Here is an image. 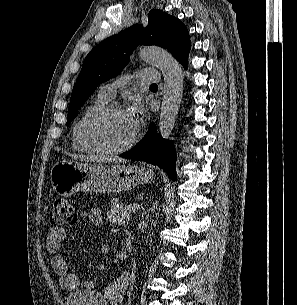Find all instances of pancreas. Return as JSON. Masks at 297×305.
I'll use <instances>...</instances> for the list:
<instances>
[{
  "label": "pancreas",
  "mask_w": 297,
  "mask_h": 305,
  "mask_svg": "<svg viewBox=\"0 0 297 305\" xmlns=\"http://www.w3.org/2000/svg\"><path fill=\"white\" fill-rule=\"evenodd\" d=\"M129 206H125L122 203H118L116 198L112 199V206L107 212V219L113 224L124 225L130 220Z\"/></svg>",
  "instance_id": "cf45deb5"
}]
</instances>
